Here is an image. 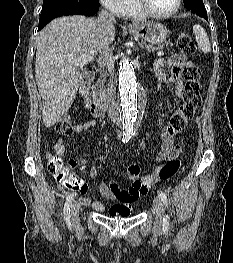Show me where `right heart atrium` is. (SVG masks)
<instances>
[{"instance_id": "d8ad5b80", "label": "right heart atrium", "mask_w": 233, "mask_h": 263, "mask_svg": "<svg viewBox=\"0 0 233 263\" xmlns=\"http://www.w3.org/2000/svg\"><path fill=\"white\" fill-rule=\"evenodd\" d=\"M108 10L114 14H120L127 0H99Z\"/></svg>"}]
</instances>
